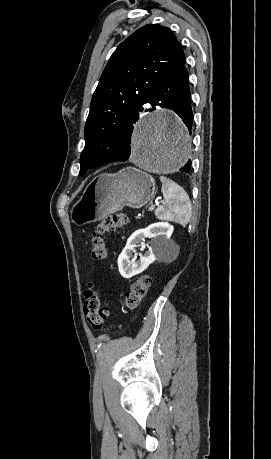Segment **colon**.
I'll use <instances>...</instances> for the list:
<instances>
[{
	"instance_id": "5ec220e1",
	"label": "colon",
	"mask_w": 271,
	"mask_h": 459,
	"mask_svg": "<svg viewBox=\"0 0 271 459\" xmlns=\"http://www.w3.org/2000/svg\"><path fill=\"white\" fill-rule=\"evenodd\" d=\"M127 221L128 218L125 214L115 213L105 217L98 223L91 240V259L93 261H101L106 256L104 235L124 226ZM150 283L151 280L148 276H142L135 280L125 293V305L130 309H135L147 294ZM84 310L91 327L94 329L101 328L108 315V308L101 304L97 292L86 299Z\"/></svg>"
}]
</instances>
